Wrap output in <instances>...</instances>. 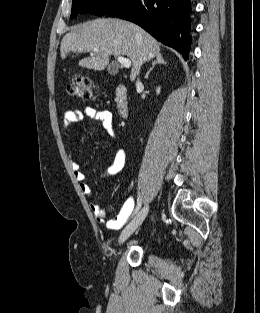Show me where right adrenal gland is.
<instances>
[{"label": "right adrenal gland", "instance_id": "2a0ac1e0", "mask_svg": "<svg viewBox=\"0 0 260 313\" xmlns=\"http://www.w3.org/2000/svg\"><path fill=\"white\" fill-rule=\"evenodd\" d=\"M166 64L167 62L163 59L162 54H157L155 57V60L152 63V67L149 69V71L146 73L145 78L149 77L150 72L153 70L156 64Z\"/></svg>", "mask_w": 260, "mask_h": 313}]
</instances>
